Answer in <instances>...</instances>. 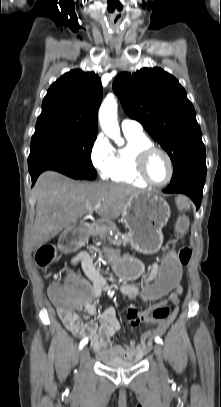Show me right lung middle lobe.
I'll return each instance as SVG.
<instances>
[{
    "label": "right lung middle lobe",
    "mask_w": 221,
    "mask_h": 407,
    "mask_svg": "<svg viewBox=\"0 0 221 407\" xmlns=\"http://www.w3.org/2000/svg\"><path fill=\"white\" fill-rule=\"evenodd\" d=\"M96 136L66 130L35 131L31 140L30 174L56 170L75 179H95L91 151Z\"/></svg>",
    "instance_id": "right-lung-middle-lobe-1"
}]
</instances>
